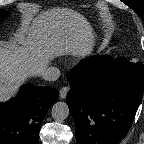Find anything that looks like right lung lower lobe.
Returning a JSON list of instances; mask_svg holds the SVG:
<instances>
[{
  "mask_svg": "<svg viewBox=\"0 0 144 144\" xmlns=\"http://www.w3.org/2000/svg\"><path fill=\"white\" fill-rule=\"evenodd\" d=\"M58 97L55 88L26 84L16 98L0 103V144H38L42 121Z\"/></svg>",
  "mask_w": 144,
  "mask_h": 144,
  "instance_id": "1",
  "label": "right lung lower lobe"
}]
</instances>
